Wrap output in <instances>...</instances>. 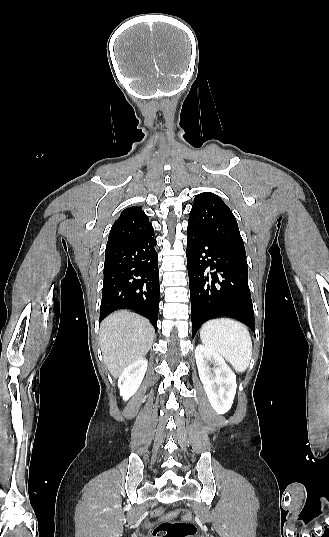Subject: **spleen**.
<instances>
[{
    "label": "spleen",
    "instance_id": "spleen-1",
    "mask_svg": "<svg viewBox=\"0 0 329 537\" xmlns=\"http://www.w3.org/2000/svg\"><path fill=\"white\" fill-rule=\"evenodd\" d=\"M202 343L220 353L238 372H244L252 356V340L247 328L230 318L207 321L200 330Z\"/></svg>",
    "mask_w": 329,
    "mask_h": 537
}]
</instances>
